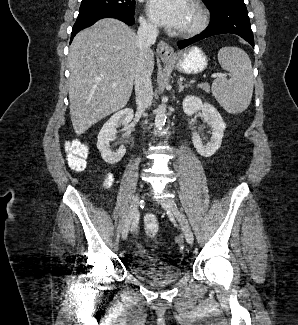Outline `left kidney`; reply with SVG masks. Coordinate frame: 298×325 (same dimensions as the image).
Instances as JSON below:
<instances>
[{"instance_id": "left-kidney-1", "label": "left kidney", "mask_w": 298, "mask_h": 325, "mask_svg": "<svg viewBox=\"0 0 298 325\" xmlns=\"http://www.w3.org/2000/svg\"><path fill=\"white\" fill-rule=\"evenodd\" d=\"M182 106L187 116H191L194 112L202 110L205 122L211 126V138L207 144H203L202 138H200L198 132H192V140L197 152H199L201 156H212L222 144V136H224L226 122H224L220 112H218L213 104L203 102L202 98L194 96V94H187V96H184ZM189 124H191V122H189Z\"/></svg>"}]
</instances>
